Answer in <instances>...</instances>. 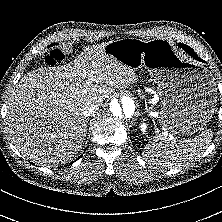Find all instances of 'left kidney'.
<instances>
[{
  "mask_svg": "<svg viewBox=\"0 0 222 222\" xmlns=\"http://www.w3.org/2000/svg\"><path fill=\"white\" fill-rule=\"evenodd\" d=\"M140 129L143 132V134L146 133V131H147V124L145 122L141 123Z\"/></svg>",
  "mask_w": 222,
  "mask_h": 222,
  "instance_id": "5707ae66",
  "label": "left kidney"
}]
</instances>
